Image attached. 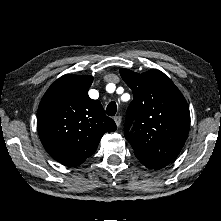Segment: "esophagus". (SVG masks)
I'll return each instance as SVG.
<instances>
[{"label":"esophagus","instance_id":"1","mask_svg":"<svg viewBox=\"0 0 221 221\" xmlns=\"http://www.w3.org/2000/svg\"><path fill=\"white\" fill-rule=\"evenodd\" d=\"M114 121H115L117 127H119L121 125V121H122L121 116L114 117Z\"/></svg>","mask_w":221,"mask_h":221}]
</instances>
